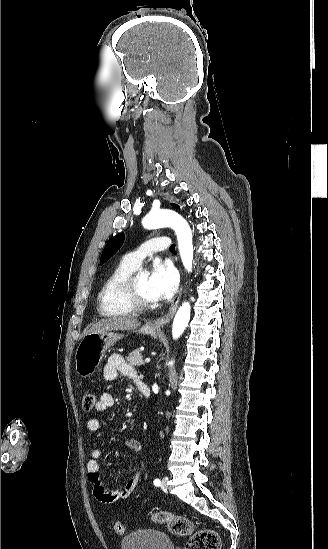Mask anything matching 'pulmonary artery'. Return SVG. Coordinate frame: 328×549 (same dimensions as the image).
Segmentation results:
<instances>
[{
	"label": "pulmonary artery",
	"instance_id": "pulmonary-artery-1",
	"mask_svg": "<svg viewBox=\"0 0 328 549\" xmlns=\"http://www.w3.org/2000/svg\"><path fill=\"white\" fill-rule=\"evenodd\" d=\"M173 244L171 238L166 237H152L150 241H144L141 246H136L134 251L129 253V257L132 261L139 263L147 255V252L150 254L152 252H163L165 247L169 248Z\"/></svg>",
	"mask_w": 328,
	"mask_h": 549
}]
</instances>
